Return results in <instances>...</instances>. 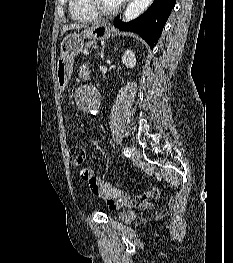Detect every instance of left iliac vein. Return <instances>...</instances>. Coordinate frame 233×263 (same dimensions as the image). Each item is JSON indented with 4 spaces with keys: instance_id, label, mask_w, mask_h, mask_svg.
<instances>
[{
    "instance_id": "obj_1",
    "label": "left iliac vein",
    "mask_w": 233,
    "mask_h": 263,
    "mask_svg": "<svg viewBox=\"0 0 233 263\" xmlns=\"http://www.w3.org/2000/svg\"><path fill=\"white\" fill-rule=\"evenodd\" d=\"M131 152H132L131 156H132L133 161H138L140 159V154H139L138 149L135 146H132Z\"/></svg>"
}]
</instances>
